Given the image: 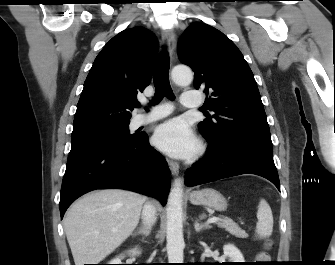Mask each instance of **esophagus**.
<instances>
[{"label": "esophagus", "instance_id": "1", "mask_svg": "<svg viewBox=\"0 0 335 265\" xmlns=\"http://www.w3.org/2000/svg\"><path fill=\"white\" fill-rule=\"evenodd\" d=\"M162 39L166 45L169 55L172 57L176 47V37L171 29L162 30ZM169 168L173 175H177L179 172V164L176 161L168 160Z\"/></svg>", "mask_w": 335, "mask_h": 265}]
</instances>
